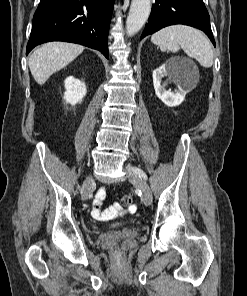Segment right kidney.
Listing matches in <instances>:
<instances>
[{
	"label": "right kidney",
	"mask_w": 247,
	"mask_h": 296,
	"mask_svg": "<svg viewBox=\"0 0 247 296\" xmlns=\"http://www.w3.org/2000/svg\"><path fill=\"white\" fill-rule=\"evenodd\" d=\"M65 89L64 100L71 105L80 103L87 92L85 83L73 76L66 78Z\"/></svg>",
	"instance_id": "1"
}]
</instances>
